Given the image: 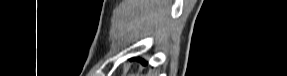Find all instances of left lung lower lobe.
I'll return each instance as SVG.
<instances>
[{
  "label": "left lung lower lobe",
  "mask_w": 287,
  "mask_h": 76,
  "mask_svg": "<svg viewBox=\"0 0 287 76\" xmlns=\"http://www.w3.org/2000/svg\"><path fill=\"white\" fill-rule=\"evenodd\" d=\"M135 59H137V60H139L141 63H143V64H145L146 62L145 61H143L142 59H140V58H135Z\"/></svg>",
  "instance_id": "obj_1"
}]
</instances>
